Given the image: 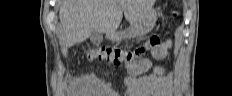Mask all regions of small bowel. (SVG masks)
I'll return each mask as SVG.
<instances>
[{
    "mask_svg": "<svg viewBox=\"0 0 232 96\" xmlns=\"http://www.w3.org/2000/svg\"><path fill=\"white\" fill-rule=\"evenodd\" d=\"M170 43H163L162 48L167 50L170 48ZM153 53L154 50L152 49ZM142 50H140V53ZM148 66V62H137L131 66L135 71H144ZM173 80V75L164 70H159L155 74L143 75L140 77H128L126 84L128 86L129 96H146V95H165L172 94L170 84Z\"/></svg>",
    "mask_w": 232,
    "mask_h": 96,
    "instance_id": "c3829d8e",
    "label": "small bowel"
}]
</instances>
